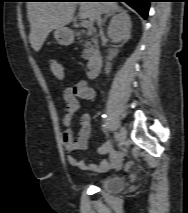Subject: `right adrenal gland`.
Listing matches in <instances>:
<instances>
[{
  "mask_svg": "<svg viewBox=\"0 0 188 213\" xmlns=\"http://www.w3.org/2000/svg\"><path fill=\"white\" fill-rule=\"evenodd\" d=\"M124 10L121 9V8H118L117 10L113 11V12H109V13H106V15L104 16L103 20H102V24H104L107 20L108 17L114 15L116 12H123Z\"/></svg>",
  "mask_w": 188,
  "mask_h": 213,
  "instance_id": "1",
  "label": "right adrenal gland"
}]
</instances>
